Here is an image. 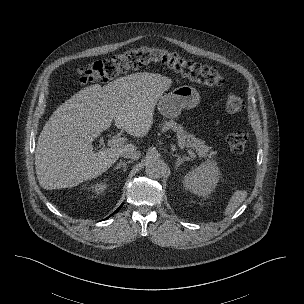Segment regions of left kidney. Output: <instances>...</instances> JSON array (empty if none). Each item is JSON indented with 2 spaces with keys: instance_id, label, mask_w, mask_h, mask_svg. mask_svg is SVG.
<instances>
[{
  "instance_id": "obj_1",
  "label": "left kidney",
  "mask_w": 304,
  "mask_h": 304,
  "mask_svg": "<svg viewBox=\"0 0 304 304\" xmlns=\"http://www.w3.org/2000/svg\"><path fill=\"white\" fill-rule=\"evenodd\" d=\"M220 171L213 161H207L192 169L184 176V186L199 196H208L216 187Z\"/></svg>"
}]
</instances>
